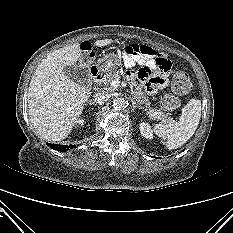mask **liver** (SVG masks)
I'll return each mask as SVG.
<instances>
[{"mask_svg": "<svg viewBox=\"0 0 233 233\" xmlns=\"http://www.w3.org/2000/svg\"><path fill=\"white\" fill-rule=\"evenodd\" d=\"M113 42L97 40L94 45L103 47ZM80 57L79 43L54 51L40 63L30 82V121L47 140L60 141L70 134L91 95L89 89L69 79L63 71Z\"/></svg>", "mask_w": 233, "mask_h": 233, "instance_id": "obj_1", "label": "liver"}]
</instances>
